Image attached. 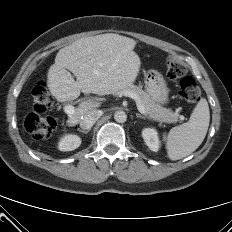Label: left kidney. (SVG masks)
<instances>
[{
  "instance_id": "left-kidney-1",
  "label": "left kidney",
  "mask_w": 232,
  "mask_h": 232,
  "mask_svg": "<svg viewBox=\"0 0 232 232\" xmlns=\"http://www.w3.org/2000/svg\"><path fill=\"white\" fill-rule=\"evenodd\" d=\"M142 137L151 151L157 152L160 148L158 133L154 128H145L142 131Z\"/></svg>"
}]
</instances>
